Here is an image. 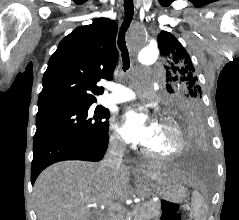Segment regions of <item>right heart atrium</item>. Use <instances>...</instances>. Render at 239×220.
<instances>
[{"instance_id": "d8ad5b80", "label": "right heart atrium", "mask_w": 239, "mask_h": 220, "mask_svg": "<svg viewBox=\"0 0 239 220\" xmlns=\"http://www.w3.org/2000/svg\"><path fill=\"white\" fill-rule=\"evenodd\" d=\"M109 142H110V145L112 146V148H114L117 151H123L124 148H125V144H124L122 138L115 131L114 128H113V130H112V132L110 134Z\"/></svg>"}]
</instances>
